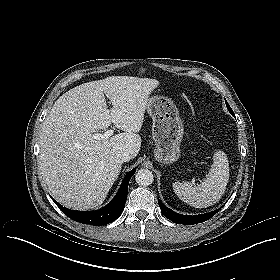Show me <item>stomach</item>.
I'll return each mask as SVG.
<instances>
[{
    "label": "stomach",
    "mask_w": 280,
    "mask_h": 280,
    "mask_svg": "<svg viewBox=\"0 0 280 280\" xmlns=\"http://www.w3.org/2000/svg\"><path fill=\"white\" fill-rule=\"evenodd\" d=\"M146 109L153 119L155 159L164 165L176 162L181 155L180 144L184 134L176 105L167 97L153 96L149 98Z\"/></svg>",
    "instance_id": "0dacf381"
}]
</instances>
